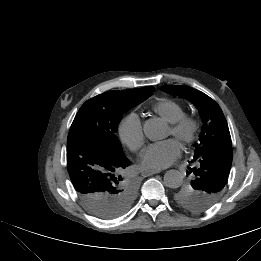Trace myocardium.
<instances>
[{
  "label": "myocardium",
  "instance_id": "f54148a6",
  "mask_svg": "<svg viewBox=\"0 0 261 261\" xmlns=\"http://www.w3.org/2000/svg\"><path fill=\"white\" fill-rule=\"evenodd\" d=\"M170 128L175 137L185 145H189L197 139L200 122L196 116L184 113L177 120L170 123Z\"/></svg>",
  "mask_w": 261,
  "mask_h": 261
}]
</instances>
